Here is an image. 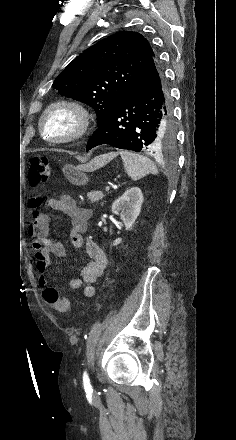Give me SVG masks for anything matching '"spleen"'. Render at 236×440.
<instances>
[{"label": "spleen", "mask_w": 236, "mask_h": 440, "mask_svg": "<svg viewBox=\"0 0 236 440\" xmlns=\"http://www.w3.org/2000/svg\"><path fill=\"white\" fill-rule=\"evenodd\" d=\"M119 153L125 171L132 180L137 181L149 173H157L156 166L148 157L126 150H122Z\"/></svg>", "instance_id": "3e777b00"}]
</instances>
